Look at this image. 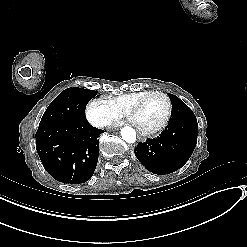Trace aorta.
I'll return each instance as SVG.
<instances>
[{"mask_svg":"<svg viewBox=\"0 0 247 247\" xmlns=\"http://www.w3.org/2000/svg\"><path fill=\"white\" fill-rule=\"evenodd\" d=\"M121 136L127 143H134L136 141V132L131 127H123L121 129Z\"/></svg>","mask_w":247,"mask_h":247,"instance_id":"1","label":"aorta"}]
</instances>
